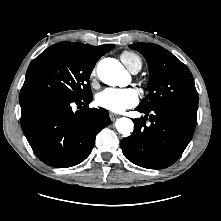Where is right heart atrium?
<instances>
[{
    "mask_svg": "<svg viewBox=\"0 0 221 221\" xmlns=\"http://www.w3.org/2000/svg\"><path fill=\"white\" fill-rule=\"evenodd\" d=\"M95 75H96V70L95 69H93L92 71H91V73H90V79H91V81L94 83V77H95Z\"/></svg>",
    "mask_w": 221,
    "mask_h": 221,
    "instance_id": "d8ad5b80",
    "label": "right heart atrium"
}]
</instances>
